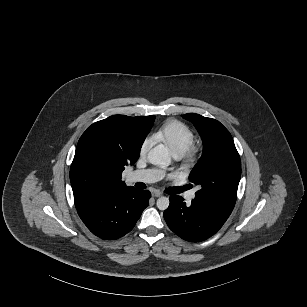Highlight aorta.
I'll return each mask as SVG.
<instances>
[{"mask_svg": "<svg viewBox=\"0 0 307 307\" xmlns=\"http://www.w3.org/2000/svg\"><path fill=\"white\" fill-rule=\"evenodd\" d=\"M148 160L151 164L161 167H169L172 163L170 150L167 146L159 144L155 146L148 154ZM159 210H166L169 206V198L161 196L156 201Z\"/></svg>", "mask_w": 307, "mask_h": 307, "instance_id": "1", "label": "aorta"}]
</instances>
